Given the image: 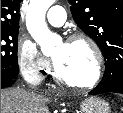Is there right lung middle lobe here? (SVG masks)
Segmentation results:
<instances>
[{
	"label": "right lung middle lobe",
	"instance_id": "dd1d6c3e",
	"mask_svg": "<svg viewBox=\"0 0 123 113\" xmlns=\"http://www.w3.org/2000/svg\"><path fill=\"white\" fill-rule=\"evenodd\" d=\"M17 43L18 29L1 30V79H15L19 73Z\"/></svg>",
	"mask_w": 123,
	"mask_h": 113
}]
</instances>
